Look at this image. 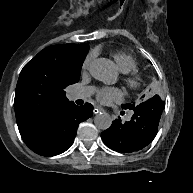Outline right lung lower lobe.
<instances>
[{"mask_svg":"<svg viewBox=\"0 0 193 193\" xmlns=\"http://www.w3.org/2000/svg\"><path fill=\"white\" fill-rule=\"evenodd\" d=\"M93 106L72 105L56 119L37 127L21 129L26 145L42 156H54L66 151L73 143L78 125L92 116Z\"/></svg>","mask_w":193,"mask_h":193,"instance_id":"right-lung-lower-lobe-1","label":"right lung lower lobe"}]
</instances>
